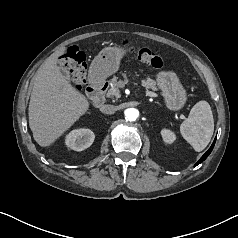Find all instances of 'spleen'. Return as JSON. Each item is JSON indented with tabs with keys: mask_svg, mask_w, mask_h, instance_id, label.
<instances>
[{
	"mask_svg": "<svg viewBox=\"0 0 238 238\" xmlns=\"http://www.w3.org/2000/svg\"><path fill=\"white\" fill-rule=\"evenodd\" d=\"M214 132V119L211 107L207 101L197 102L186 120L180 125L182 137L200 152L209 144Z\"/></svg>",
	"mask_w": 238,
	"mask_h": 238,
	"instance_id": "obj_1",
	"label": "spleen"
}]
</instances>
